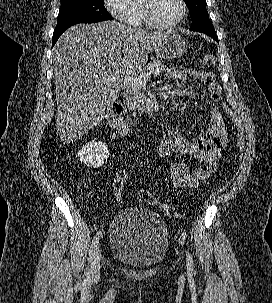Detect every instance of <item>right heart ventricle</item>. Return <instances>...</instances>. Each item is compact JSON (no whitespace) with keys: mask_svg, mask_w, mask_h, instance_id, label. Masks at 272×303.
Here are the masks:
<instances>
[{"mask_svg":"<svg viewBox=\"0 0 272 303\" xmlns=\"http://www.w3.org/2000/svg\"><path fill=\"white\" fill-rule=\"evenodd\" d=\"M127 23L132 26L147 24L143 14V0H131Z\"/></svg>","mask_w":272,"mask_h":303,"instance_id":"1","label":"right heart ventricle"}]
</instances>
